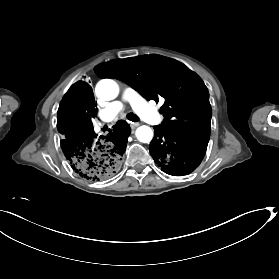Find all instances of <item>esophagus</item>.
<instances>
[{
	"label": "esophagus",
	"instance_id": "obj_1",
	"mask_svg": "<svg viewBox=\"0 0 279 279\" xmlns=\"http://www.w3.org/2000/svg\"><path fill=\"white\" fill-rule=\"evenodd\" d=\"M140 124L138 123V122H134V123H131L130 124V127L132 128V129H135L136 127H138Z\"/></svg>",
	"mask_w": 279,
	"mask_h": 279
}]
</instances>
